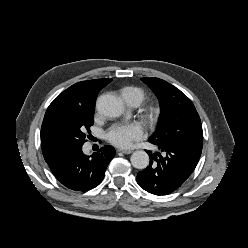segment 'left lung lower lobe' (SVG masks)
<instances>
[{"mask_svg":"<svg viewBox=\"0 0 248 248\" xmlns=\"http://www.w3.org/2000/svg\"><path fill=\"white\" fill-rule=\"evenodd\" d=\"M157 145V144H155ZM162 152L152 154L149 166L137 174V183L154 195H167L177 190L195 169L202 148L183 144L157 145Z\"/></svg>","mask_w":248,"mask_h":248,"instance_id":"0a47b994","label":"left lung lower lobe"}]
</instances>
